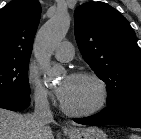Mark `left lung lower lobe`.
Instances as JSON below:
<instances>
[{
  "instance_id": "0a47b994",
  "label": "left lung lower lobe",
  "mask_w": 141,
  "mask_h": 139,
  "mask_svg": "<svg viewBox=\"0 0 141 139\" xmlns=\"http://www.w3.org/2000/svg\"><path fill=\"white\" fill-rule=\"evenodd\" d=\"M74 121L85 125L114 124L141 128V95L129 96L114 105L107 106L94 116Z\"/></svg>"
}]
</instances>
